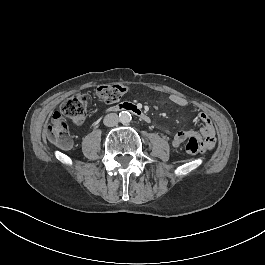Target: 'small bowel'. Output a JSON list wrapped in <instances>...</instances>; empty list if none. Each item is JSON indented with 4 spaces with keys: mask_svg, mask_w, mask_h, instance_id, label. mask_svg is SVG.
Listing matches in <instances>:
<instances>
[{
    "mask_svg": "<svg viewBox=\"0 0 265 265\" xmlns=\"http://www.w3.org/2000/svg\"><path fill=\"white\" fill-rule=\"evenodd\" d=\"M170 101L180 107H187L189 105V103L181 96L179 95H171L170 96ZM196 120L198 122H200L202 124V127L200 129V133L199 132H195V131H179L177 133L174 134L173 138H172V145L175 148L180 147L185 140L190 136H197L200 137L198 140L199 143V147H200V153L204 154L205 153V147L207 146L208 149H212L215 145V129L213 126V123L210 119V117L206 114V113H199L196 116ZM204 138H203V137ZM206 141V143L204 142V140Z\"/></svg>",
    "mask_w": 265,
    "mask_h": 265,
    "instance_id": "small-bowel-1",
    "label": "small bowel"
}]
</instances>
